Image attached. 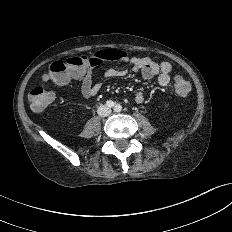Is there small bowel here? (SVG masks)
Returning <instances> with one entry per match:
<instances>
[{
	"label": "small bowel",
	"instance_id": "c3829d8e",
	"mask_svg": "<svg viewBox=\"0 0 232 232\" xmlns=\"http://www.w3.org/2000/svg\"><path fill=\"white\" fill-rule=\"evenodd\" d=\"M104 51L109 54V57L100 64L107 61H116L126 64L129 69L109 68L104 71L99 78L94 80L93 68L100 65L98 64L87 68L83 72L74 73L54 83L57 85H64L69 81L70 77H73L79 81L81 95L86 99L98 94L106 79L122 78L127 76L130 71L140 72L143 78L147 80L157 77L159 87H166L170 83L172 66L167 61L156 62L149 57H129L125 51L117 49ZM145 100L146 95L144 92L141 91L136 94L135 101L138 104L144 103Z\"/></svg>",
	"mask_w": 232,
	"mask_h": 232
}]
</instances>
